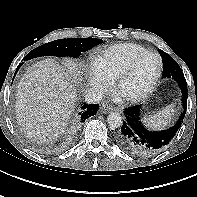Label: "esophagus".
Wrapping results in <instances>:
<instances>
[{
  "label": "esophagus",
  "mask_w": 197,
  "mask_h": 197,
  "mask_svg": "<svg viewBox=\"0 0 197 197\" xmlns=\"http://www.w3.org/2000/svg\"><path fill=\"white\" fill-rule=\"evenodd\" d=\"M112 110H114V107L111 104H109V103H103L101 105V111L103 113H108V112H110Z\"/></svg>",
  "instance_id": "1"
}]
</instances>
